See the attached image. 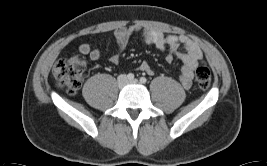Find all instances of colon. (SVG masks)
<instances>
[{
	"mask_svg": "<svg viewBox=\"0 0 267 166\" xmlns=\"http://www.w3.org/2000/svg\"><path fill=\"white\" fill-rule=\"evenodd\" d=\"M85 62L80 58H71L58 62L53 70L56 85L68 94H75L80 86ZM197 83L200 89L206 90L211 85V73L208 68L200 67L197 71Z\"/></svg>",
	"mask_w": 267,
	"mask_h": 166,
	"instance_id": "5ec220e1",
	"label": "colon"
}]
</instances>
